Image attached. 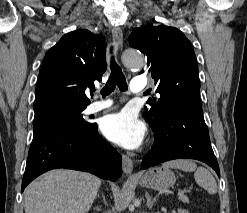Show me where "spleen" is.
Instances as JSON below:
<instances>
[{"mask_svg":"<svg viewBox=\"0 0 247 213\" xmlns=\"http://www.w3.org/2000/svg\"><path fill=\"white\" fill-rule=\"evenodd\" d=\"M162 167L179 169L185 172H194L195 181L199 186L207 190L209 194H215L217 192V183L211 173L203 167H197V165L190 160H173L164 163Z\"/></svg>","mask_w":247,"mask_h":213,"instance_id":"3e777b00","label":"spleen"}]
</instances>
